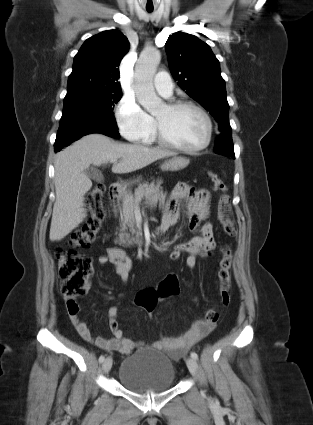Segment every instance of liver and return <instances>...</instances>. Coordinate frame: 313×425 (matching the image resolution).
<instances>
[{
  "label": "liver",
  "instance_id": "1",
  "mask_svg": "<svg viewBox=\"0 0 313 425\" xmlns=\"http://www.w3.org/2000/svg\"><path fill=\"white\" fill-rule=\"evenodd\" d=\"M176 153L143 145L117 143L102 134H89L55 157L56 201L50 226L49 238L60 241L79 226L86 218L84 196L91 189L92 181L86 173L88 167L101 166L111 160L114 173H131L151 163Z\"/></svg>",
  "mask_w": 313,
  "mask_h": 425
}]
</instances>
